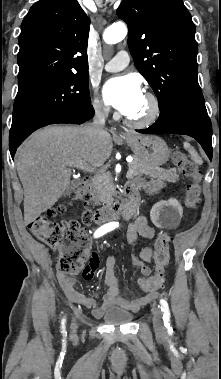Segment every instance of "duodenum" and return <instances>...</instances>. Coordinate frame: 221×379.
Wrapping results in <instances>:
<instances>
[{"label": "duodenum", "instance_id": "duodenum-1", "mask_svg": "<svg viewBox=\"0 0 221 379\" xmlns=\"http://www.w3.org/2000/svg\"><path fill=\"white\" fill-rule=\"evenodd\" d=\"M92 178L86 176L82 179L81 185L85 190H90ZM126 198L116 203L104 205L96 210L93 216L95 223L101 224L113 221L120 216L130 218L134 216L140 208L141 202L137 187L129 183L125 188Z\"/></svg>", "mask_w": 221, "mask_h": 379}]
</instances>
